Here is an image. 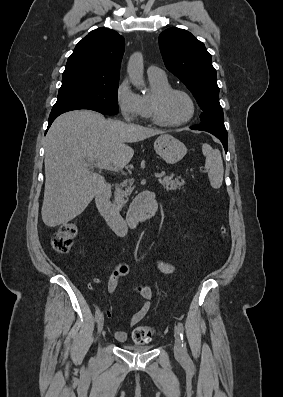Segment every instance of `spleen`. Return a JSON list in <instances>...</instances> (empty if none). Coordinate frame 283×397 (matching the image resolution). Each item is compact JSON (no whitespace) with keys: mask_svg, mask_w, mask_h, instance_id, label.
<instances>
[{"mask_svg":"<svg viewBox=\"0 0 283 397\" xmlns=\"http://www.w3.org/2000/svg\"><path fill=\"white\" fill-rule=\"evenodd\" d=\"M202 152L206 158L205 168L208 171L210 184L214 189H218L222 185L224 174L221 153L207 143L202 144Z\"/></svg>","mask_w":283,"mask_h":397,"instance_id":"spleen-1","label":"spleen"}]
</instances>
